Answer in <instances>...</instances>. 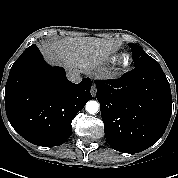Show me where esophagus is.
<instances>
[{
	"label": "esophagus",
	"instance_id": "34e87169",
	"mask_svg": "<svg viewBox=\"0 0 178 178\" xmlns=\"http://www.w3.org/2000/svg\"><path fill=\"white\" fill-rule=\"evenodd\" d=\"M96 92H97L96 85H92V87H91V95L93 97H95L96 96Z\"/></svg>",
	"mask_w": 178,
	"mask_h": 178
}]
</instances>
